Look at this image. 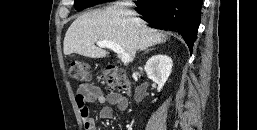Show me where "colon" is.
Wrapping results in <instances>:
<instances>
[{"label": "colon", "mask_w": 257, "mask_h": 130, "mask_svg": "<svg viewBox=\"0 0 257 130\" xmlns=\"http://www.w3.org/2000/svg\"><path fill=\"white\" fill-rule=\"evenodd\" d=\"M70 76L78 81L90 79L89 68L85 63L74 62L69 69ZM103 81L110 91L121 92L126 87V74L115 67H108L103 73Z\"/></svg>", "instance_id": "obj_1"}]
</instances>
